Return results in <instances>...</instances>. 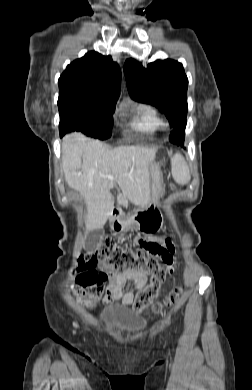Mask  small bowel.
I'll use <instances>...</instances> for the list:
<instances>
[{"mask_svg":"<svg viewBox=\"0 0 252 390\" xmlns=\"http://www.w3.org/2000/svg\"><path fill=\"white\" fill-rule=\"evenodd\" d=\"M141 237H136L132 244L138 245ZM152 243L150 252L157 255L162 261L165 257L170 259L169 264L173 262L175 254V246L168 237H149ZM100 268L108 273V286L104 297V304L111 305L113 302L119 301L122 306H129L134 301L133 290H139L147 285V276L141 272L129 271L125 273H117L108 270L103 263L99 264ZM124 291H126L124 293Z\"/></svg>","mask_w":252,"mask_h":390,"instance_id":"obj_1","label":"small bowel"}]
</instances>
